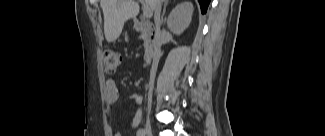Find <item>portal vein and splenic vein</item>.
I'll list each match as a JSON object with an SVG mask.
<instances>
[{"label": "portal vein and splenic vein", "instance_id": "18ae733b", "mask_svg": "<svg viewBox=\"0 0 325 136\" xmlns=\"http://www.w3.org/2000/svg\"><path fill=\"white\" fill-rule=\"evenodd\" d=\"M140 2L143 3V0H140ZM143 16L146 19H149V18L152 17V12H151L150 8L147 5H145V4H143Z\"/></svg>", "mask_w": 325, "mask_h": 136}]
</instances>
